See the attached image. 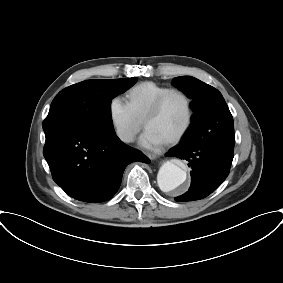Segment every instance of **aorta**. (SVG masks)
<instances>
[{
  "label": "aorta",
  "instance_id": "762f6f07",
  "mask_svg": "<svg viewBox=\"0 0 283 283\" xmlns=\"http://www.w3.org/2000/svg\"><path fill=\"white\" fill-rule=\"evenodd\" d=\"M186 179V170L171 161L163 162L157 174V183L163 192L177 191Z\"/></svg>",
  "mask_w": 283,
  "mask_h": 283
}]
</instances>
